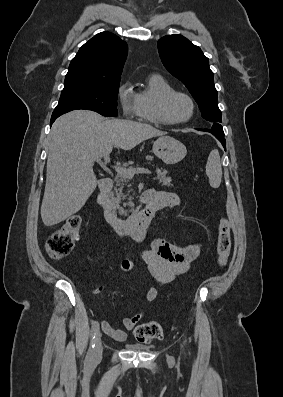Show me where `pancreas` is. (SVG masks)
Instances as JSON below:
<instances>
[{
  "instance_id": "pancreas-1",
  "label": "pancreas",
  "mask_w": 283,
  "mask_h": 397,
  "mask_svg": "<svg viewBox=\"0 0 283 397\" xmlns=\"http://www.w3.org/2000/svg\"><path fill=\"white\" fill-rule=\"evenodd\" d=\"M132 168V167H131ZM156 173H157V177L156 179L159 180V183L162 186H173L172 185V179L171 177L167 176V170L165 169H156ZM116 187L114 188V192L116 194V198H114V202L116 203L119 212L121 215H126L127 211H125L119 204L121 203V200H129V203H123V206H129V207H133L134 204L131 202L132 197L129 195V191L126 193H124V185L126 182H128V178L123 177L121 175H117L116 176Z\"/></svg>"
}]
</instances>
